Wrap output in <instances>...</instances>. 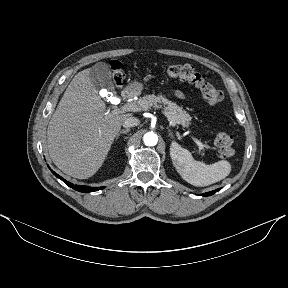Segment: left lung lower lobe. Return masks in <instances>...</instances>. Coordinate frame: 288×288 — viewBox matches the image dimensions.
<instances>
[{
    "label": "left lung lower lobe",
    "mask_w": 288,
    "mask_h": 288,
    "mask_svg": "<svg viewBox=\"0 0 288 288\" xmlns=\"http://www.w3.org/2000/svg\"><path fill=\"white\" fill-rule=\"evenodd\" d=\"M220 189H216V190H213V191H210V192H207V193H204L203 196H210V195H213L215 194L217 191H219Z\"/></svg>",
    "instance_id": "left-lung-lower-lobe-1"
}]
</instances>
